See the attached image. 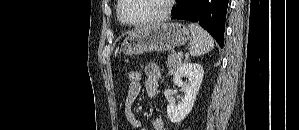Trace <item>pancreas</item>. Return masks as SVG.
I'll return each mask as SVG.
<instances>
[{
	"mask_svg": "<svg viewBox=\"0 0 299 130\" xmlns=\"http://www.w3.org/2000/svg\"><path fill=\"white\" fill-rule=\"evenodd\" d=\"M182 63L181 57H179L175 52H171L167 57V65L169 72L173 73Z\"/></svg>",
	"mask_w": 299,
	"mask_h": 130,
	"instance_id": "obj_1",
	"label": "pancreas"
}]
</instances>
